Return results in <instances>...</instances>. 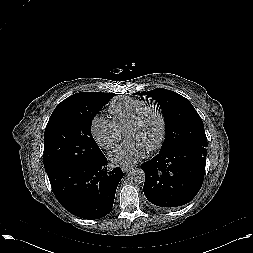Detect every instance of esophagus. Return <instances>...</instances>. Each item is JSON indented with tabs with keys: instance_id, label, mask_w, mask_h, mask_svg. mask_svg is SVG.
<instances>
[{
	"instance_id": "esophagus-1",
	"label": "esophagus",
	"mask_w": 253,
	"mask_h": 253,
	"mask_svg": "<svg viewBox=\"0 0 253 253\" xmlns=\"http://www.w3.org/2000/svg\"><path fill=\"white\" fill-rule=\"evenodd\" d=\"M133 169V166H123L122 167V171L124 172V173H128L130 170H132Z\"/></svg>"
}]
</instances>
